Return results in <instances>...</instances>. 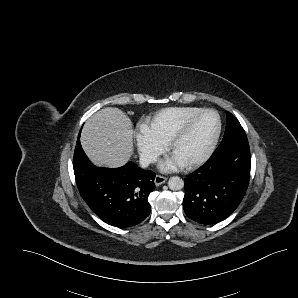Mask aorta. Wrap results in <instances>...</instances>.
I'll return each mask as SVG.
<instances>
[{
	"label": "aorta",
	"mask_w": 298,
	"mask_h": 298,
	"mask_svg": "<svg viewBox=\"0 0 298 298\" xmlns=\"http://www.w3.org/2000/svg\"><path fill=\"white\" fill-rule=\"evenodd\" d=\"M168 187L170 190H180L184 187V180L177 175L171 176L168 179Z\"/></svg>",
	"instance_id": "obj_1"
}]
</instances>
